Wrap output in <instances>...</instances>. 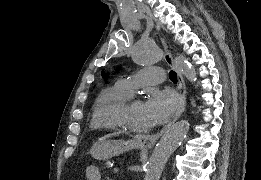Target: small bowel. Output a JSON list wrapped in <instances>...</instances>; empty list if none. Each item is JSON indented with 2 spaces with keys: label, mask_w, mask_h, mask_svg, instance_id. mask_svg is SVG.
Returning a JSON list of instances; mask_svg holds the SVG:
<instances>
[{
  "label": "small bowel",
  "mask_w": 261,
  "mask_h": 180,
  "mask_svg": "<svg viewBox=\"0 0 261 180\" xmlns=\"http://www.w3.org/2000/svg\"><path fill=\"white\" fill-rule=\"evenodd\" d=\"M85 175L88 180H100L101 179L100 171L94 165H90L87 167Z\"/></svg>",
  "instance_id": "1"
}]
</instances>
